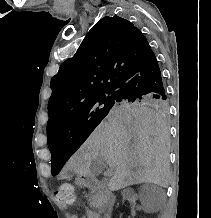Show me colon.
<instances>
[{
  "mask_svg": "<svg viewBox=\"0 0 211 218\" xmlns=\"http://www.w3.org/2000/svg\"><path fill=\"white\" fill-rule=\"evenodd\" d=\"M57 199L64 204H72L75 201L74 189L70 184H62L56 191Z\"/></svg>",
  "mask_w": 211,
  "mask_h": 218,
  "instance_id": "5ec220e1",
  "label": "colon"
}]
</instances>
